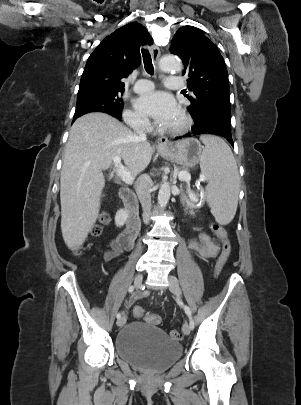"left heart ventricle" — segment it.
Wrapping results in <instances>:
<instances>
[{
  "mask_svg": "<svg viewBox=\"0 0 301 405\" xmlns=\"http://www.w3.org/2000/svg\"><path fill=\"white\" fill-rule=\"evenodd\" d=\"M178 123H179V119L176 120L172 125H170V126H168V127H174V126H176Z\"/></svg>",
  "mask_w": 301,
  "mask_h": 405,
  "instance_id": "obj_1",
  "label": "left heart ventricle"
}]
</instances>
